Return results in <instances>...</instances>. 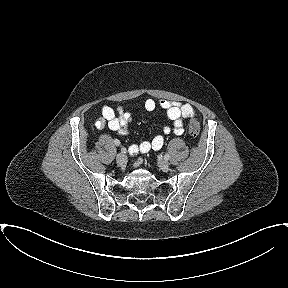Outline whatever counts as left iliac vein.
Returning a JSON list of instances; mask_svg holds the SVG:
<instances>
[{
    "instance_id": "1",
    "label": "left iliac vein",
    "mask_w": 288,
    "mask_h": 288,
    "mask_svg": "<svg viewBox=\"0 0 288 288\" xmlns=\"http://www.w3.org/2000/svg\"><path fill=\"white\" fill-rule=\"evenodd\" d=\"M159 167L163 170L166 171L169 168V162L166 159H163L159 162Z\"/></svg>"
}]
</instances>
